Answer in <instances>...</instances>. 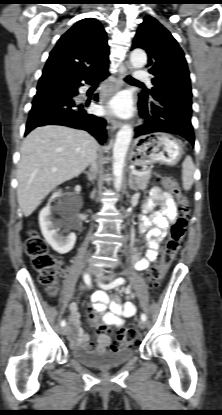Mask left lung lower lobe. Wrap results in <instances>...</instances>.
<instances>
[{
	"instance_id": "1",
	"label": "left lung lower lobe",
	"mask_w": 222,
	"mask_h": 415,
	"mask_svg": "<svg viewBox=\"0 0 222 415\" xmlns=\"http://www.w3.org/2000/svg\"><path fill=\"white\" fill-rule=\"evenodd\" d=\"M175 106H169L170 102ZM140 116L144 124L135 129V138L154 133L177 134L194 145V131L191 124L192 93L190 79L167 77L157 83L151 100L139 98ZM175 107V109H171Z\"/></svg>"
}]
</instances>
